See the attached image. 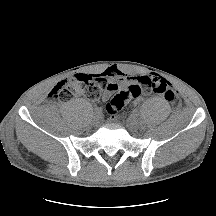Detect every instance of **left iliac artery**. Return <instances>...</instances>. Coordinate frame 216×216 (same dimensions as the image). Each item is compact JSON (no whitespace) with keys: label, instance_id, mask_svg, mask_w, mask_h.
Returning <instances> with one entry per match:
<instances>
[{"label":"left iliac artery","instance_id":"44dca946","mask_svg":"<svg viewBox=\"0 0 216 216\" xmlns=\"http://www.w3.org/2000/svg\"><path fill=\"white\" fill-rule=\"evenodd\" d=\"M134 115H136V116L138 115V111L137 110L134 111Z\"/></svg>","mask_w":216,"mask_h":216}]
</instances>
